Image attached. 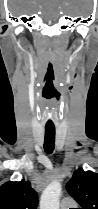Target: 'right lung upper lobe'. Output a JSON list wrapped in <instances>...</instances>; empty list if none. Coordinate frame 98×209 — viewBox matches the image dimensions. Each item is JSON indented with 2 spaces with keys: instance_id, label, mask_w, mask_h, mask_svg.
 Instances as JSON below:
<instances>
[{
  "instance_id": "cb5924a9",
  "label": "right lung upper lobe",
  "mask_w": 98,
  "mask_h": 209,
  "mask_svg": "<svg viewBox=\"0 0 98 209\" xmlns=\"http://www.w3.org/2000/svg\"><path fill=\"white\" fill-rule=\"evenodd\" d=\"M37 204V193L29 181H9L0 187V209H36Z\"/></svg>"
}]
</instances>
